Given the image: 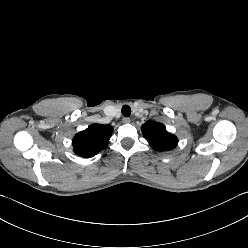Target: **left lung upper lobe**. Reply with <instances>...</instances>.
<instances>
[{
  "instance_id": "1",
  "label": "left lung upper lobe",
  "mask_w": 248,
  "mask_h": 248,
  "mask_svg": "<svg viewBox=\"0 0 248 248\" xmlns=\"http://www.w3.org/2000/svg\"><path fill=\"white\" fill-rule=\"evenodd\" d=\"M141 129L145 139L156 151H169L178 143L177 137L167 132L162 123L149 120Z\"/></svg>"
}]
</instances>
